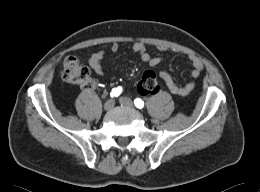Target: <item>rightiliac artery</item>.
Returning <instances> with one entry per match:
<instances>
[{
	"label": "right iliac artery",
	"mask_w": 260,
	"mask_h": 192,
	"mask_svg": "<svg viewBox=\"0 0 260 192\" xmlns=\"http://www.w3.org/2000/svg\"><path fill=\"white\" fill-rule=\"evenodd\" d=\"M122 87H115L111 91V97H118L122 93Z\"/></svg>",
	"instance_id": "1"
}]
</instances>
